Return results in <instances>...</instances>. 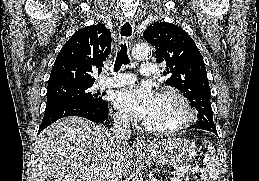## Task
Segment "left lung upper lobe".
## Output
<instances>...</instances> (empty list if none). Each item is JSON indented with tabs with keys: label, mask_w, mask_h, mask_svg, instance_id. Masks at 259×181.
Masks as SVG:
<instances>
[{
	"label": "left lung upper lobe",
	"mask_w": 259,
	"mask_h": 181,
	"mask_svg": "<svg viewBox=\"0 0 259 181\" xmlns=\"http://www.w3.org/2000/svg\"><path fill=\"white\" fill-rule=\"evenodd\" d=\"M143 38L156 48L158 62L166 63L167 83L191 101L198 112L197 125L214 129L210 103V87L203 57L193 39L180 27L166 22H154Z\"/></svg>",
	"instance_id": "obj_1"
}]
</instances>
